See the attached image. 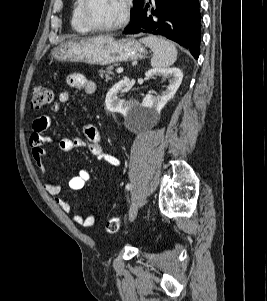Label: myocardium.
Masks as SVG:
<instances>
[{
    "label": "myocardium",
    "mask_w": 267,
    "mask_h": 301,
    "mask_svg": "<svg viewBox=\"0 0 267 301\" xmlns=\"http://www.w3.org/2000/svg\"><path fill=\"white\" fill-rule=\"evenodd\" d=\"M91 0H83L82 6H81V14L82 19L84 23L94 31H100V32H109V31H115L117 29L122 28L125 26L130 18L131 11H132V0H123V12L121 14V17L116 21L115 23L108 24V25H98L95 24L89 17L88 9L90 5Z\"/></svg>",
    "instance_id": "myocardium-1"
}]
</instances>
